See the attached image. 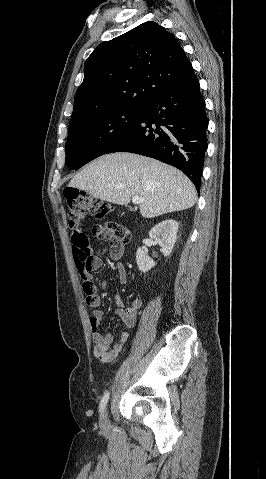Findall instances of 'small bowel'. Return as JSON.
<instances>
[{
    "mask_svg": "<svg viewBox=\"0 0 266 479\" xmlns=\"http://www.w3.org/2000/svg\"><path fill=\"white\" fill-rule=\"evenodd\" d=\"M114 245H120L119 243L111 244V248ZM121 255L115 257L118 258ZM91 265L93 269H98L103 265V258L100 254H95L91 258ZM116 271L119 278V281L124 284L127 282V273L126 269L123 264L117 263L116 264ZM115 303L117 305V309L115 311L117 317L125 324L128 328H134L137 323V315L138 311L142 306V301L139 298H135L131 301L128 306L124 305L123 299L120 295L116 294L114 296ZM101 303L100 298L98 297L97 303L94 305L95 309L92 312V315L89 319L90 328L92 331V339H93V355L101 362V363H110L117 356L126 346L129 340V333L122 332L114 345L112 344L113 336L111 333H101L100 327L102 320L104 318V311L99 308Z\"/></svg>",
    "mask_w": 266,
    "mask_h": 479,
    "instance_id": "small-bowel-1",
    "label": "small bowel"
}]
</instances>
